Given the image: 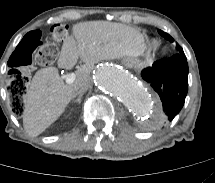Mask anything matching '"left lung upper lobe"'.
Listing matches in <instances>:
<instances>
[{"mask_svg":"<svg viewBox=\"0 0 215 183\" xmlns=\"http://www.w3.org/2000/svg\"><path fill=\"white\" fill-rule=\"evenodd\" d=\"M158 32H159V34H160L161 36H163L165 39L170 40L171 42L174 41L173 38H172L168 33L164 32V31H162V30H158ZM176 50L178 51V53H184V52H183V49H182L180 46H178V45H176Z\"/></svg>","mask_w":215,"mask_h":183,"instance_id":"1","label":"left lung upper lobe"}]
</instances>
